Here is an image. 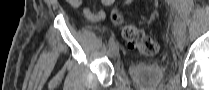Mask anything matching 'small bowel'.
Instances as JSON below:
<instances>
[{
    "label": "small bowel",
    "mask_w": 209,
    "mask_h": 90,
    "mask_svg": "<svg viewBox=\"0 0 209 90\" xmlns=\"http://www.w3.org/2000/svg\"><path fill=\"white\" fill-rule=\"evenodd\" d=\"M102 3L104 5H107V4L110 3V1L109 0H103ZM84 14L89 20H91L93 22H98L105 17V13L103 11H99L98 13H94L89 8L84 9Z\"/></svg>",
    "instance_id": "obj_1"
}]
</instances>
